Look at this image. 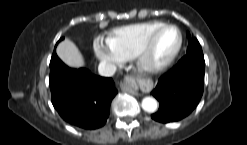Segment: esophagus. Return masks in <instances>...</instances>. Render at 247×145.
<instances>
[{
	"label": "esophagus",
	"mask_w": 247,
	"mask_h": 145,
	"mask_svg": "<svg viewBox=\"0 0 247 145\" xmlns=\"http://www.w3.org/2000/svg\"><path fill=\"white\" fill-rule=\"evenodd\" d=\"M121 90L136 96L139 95L137 83L135 79L130 76H127L125 82L121 84Z\"/></svg>",
	"instance_id": "obj_1"
}]
</instances>
